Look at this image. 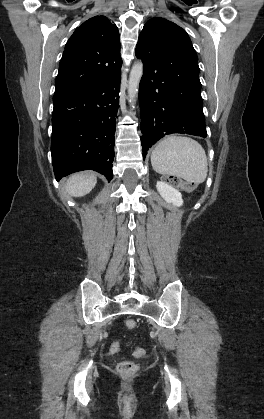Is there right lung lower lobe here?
Segmentation results:
<instances>
[{
    "instance_id": "obj_1",
    "label": "right lung lower lobe",
    "mask_w": 264,
    "mask_h": 419,
    "mask_svg": "<svg viewBox=\"0 0 264 419\" xmlns=\"http://www.w3.org/2000/svg\"><path fill=\"white\" fill-rule=\"evenodd\" d=\"M121 72L76 91L54 94L51 152L56 180L91 169L113 177Z\"/></svg>"
}]
</instances>
